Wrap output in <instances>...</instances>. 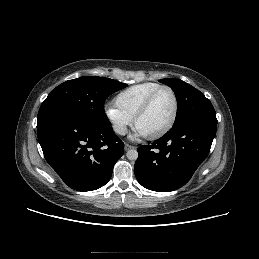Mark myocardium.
<instances>
[{"instance_id":"myocardium-1","label":"myocardium","mask_w":259,"mask_h":259,"mask_svg":"<svg viewBox=\"0 0 259 259\" xmlns=\"http://www.w3.org/2000/svg\"><path fill=\"white\" fill-rule=\"evenodd\" d=\"M162 90H168L172 94V97L174 100V110H173V114H172L170 121L163 129H161L160 131H158L152 135L147 136V138H149L151 140L159 139L162 136H164L165 134H167L172 129V127L174 126V124L177 120L178 112H179V99H178V96H177V93L175 92V90L167 85L159 86L158 88L153 90L147 96V98L145 99V101L143 102L141 107L138 109V111L136 112V114L133 118V124L136 127L137 122L148 112L155 96Z\"/></svg>"}]
</instances>
